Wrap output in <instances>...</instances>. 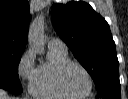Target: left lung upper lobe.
I'll list each match as a JSON object with an SVG mask.
<instances>
[{
    "mask_svg": "<svg viewBox=\"0 0 128 99\" xmlns=\"http://www.w3.org/2000/svg\"><path fill=\"white\" fill-rule=\"evenodd\" d=\"M51 17L57 34L91 75L97 92L119 82L115 42L104 18L83 1L54 4Z\"/></svg>",
    "mask_w": 128,
    "mask_h": 99,
    "instance_id": "1",
    "label": "left lung upper lobe"
}]
</instances>
